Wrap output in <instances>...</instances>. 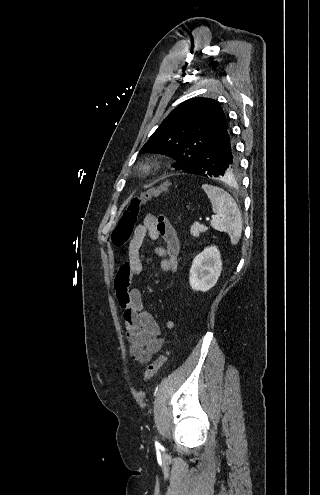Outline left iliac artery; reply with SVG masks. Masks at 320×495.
<instances>
[{
    "mask_svg": "<svg viewBox=\"0 0 320 495\" xmlns=\"http://www.w3.org/2000/svg\"><path fill=\"white\" fill-rule=\"evenodd\" d=\"M155 446L158 448V447H161L160 443L159 442H155Z\"/></svg>",
    "mask_w": 320,
    "mask_h": 495,
    "instance_id": "left-iliac-artery-1",
    "label": "left iliac artery"
}]
</instances>
